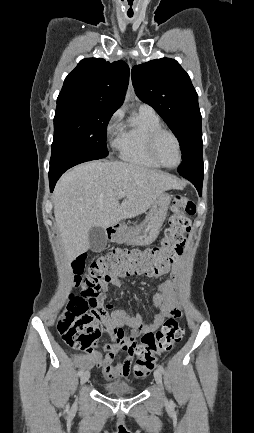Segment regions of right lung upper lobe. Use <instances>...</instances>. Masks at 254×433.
<instances>
[{
  "label": "right lung upper lobe",
  "instance_id": "cb5924a9",
  "mask_svg": "<svg viewBox=\"0 0 254 433\" xmlns=\"http://www.w3.org/2000/svg\"><path fill=\"white\" fill-rule=\"evenodd\" d=\"M128 82L129 67L125 62L83 59L65 78L57 106L94 104L115 112L124 101Z\"/></svg>",
  "mask_w": 254,
  "mask_h": 433
}]
</instances>
